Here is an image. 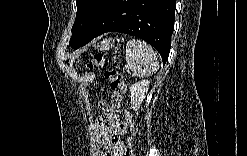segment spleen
Returning <instances> with one entry per match:
<instances>
[{
    "label": "spleen",
    "mask_w": 247,
    "mask_h": 156,
    "mask_svg": "<svg viewBox=\"0 0 247 156\" xmlns=\"http://www.w3.org/2000/svg\"><path fill=\"white\" fill-rule=\"evenodd\" d=\"M127 67L131 69L132 77H146L159 68L157 55L145 41L132 39L126 44Z\"/></svg>",
    "instance_id": "1"
}]
</instances>
